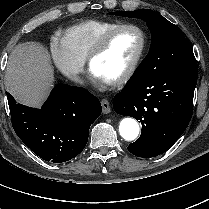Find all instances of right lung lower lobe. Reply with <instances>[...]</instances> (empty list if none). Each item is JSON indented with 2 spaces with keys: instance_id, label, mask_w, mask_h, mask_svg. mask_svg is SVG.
I'll use <instances>...</instances> for the list:
<instances>
[{
  "instance_id": "1",
  "label": "right lung lower lobe",
  "mask_w": 209,
  "mask_h": 209,
  "mask_svg": "<svg viewBox=\"0 0 209 209\" xmlns=\"http://www.w3.org/2000/svg\"><path fill=\"white\" fill-rule=\"evenodd\" d=\"M13 128L18 137L45 161L62 163L86 146L89 128L100 116V101L87 90L56 85L41 109L17 104L8 93Z\"/></svg>"
}]
</instances>
